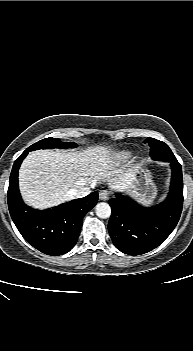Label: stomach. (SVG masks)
I'll return each instance as SVG.
<instances>
[{"mask_svg":"<svg viewBox=\"0 0 193 351\" xmlns=\"http://www.w3.org/2000/svg\"><path fill=\"white\" fill-rule=\"evenodd\" d=\"M131 195L143 204H150L155 199L157 189L149 170L146 168L140 167L137 169Z\"/></svg>","mask_w":193,"mask_h":351,"instance_id":"stomach-1","label":"stomach"}]
</instances>
